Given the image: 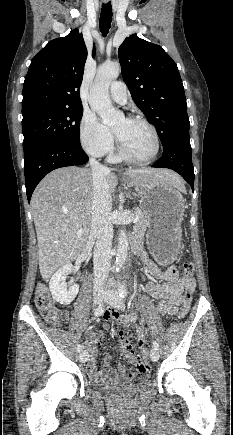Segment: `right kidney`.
Returning a JSON list of instances; mask_svg holds the SVG:
<instances>
[{"instance_id":"1","label":"right kidney","mask_w":233,"mask_h":435,"mask_svg":"<svg viewBox=\"0 0 233 435\" xmlns=\"http://www.w3.org/2000/svg\"><path fill=\"white\" fill-rule=\"evenodd\" d=\"M74 271L71 264H66L51 277L49 288L53 299L61 305L70 304L79 291V285L74 284L67 289L66 276Z\"/></svg>"}]
</instances>
